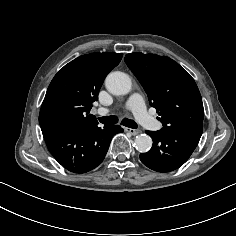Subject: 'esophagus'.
Returning a JSON list of instances; mask_svg holds the SVG:
<instances>
[{"mask_svg": "<svg viewBox=\"0 0 236 236\" xmlns=\"http://www.w3.org/2000/svg\"><path fill=\"white\" fill-rule=\"evenodd\" d=\"M124 130H125L126 132L130 133V134L133 135V136H135V135H137V134L140 133L139 130L132 129V128H127V127H125Z\"/></svg>", "mask_w": 236, "mask_h": 236, "instance_id": "esophagus-1", "label": "esophagus"}]
</instances>
